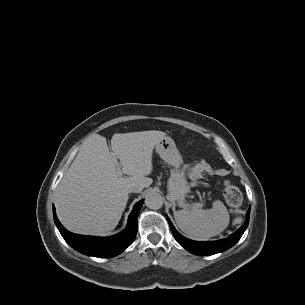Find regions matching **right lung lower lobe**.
Returning <instances> with one entry per match:
<instances>
[{"instance_id":"1","label":"right lung lower lobe","mask_w":305,"mask_h":305,"mask_svg":"<svg viewBox=\"0 0 305 305\" xmlns=\"http://www.w3.org/2000/svg\"><path fill=\"white\" fill-rule=\"evenodd\" d=\"M143 200L137 202L129 215L126 229L117 235L107 238L77 235L69 232L58 220L53 206L54 221L64 240L75 250L88 256L99 258L113 257L129 247L137 233V217Z\"/></svg>"}]
</instances>
